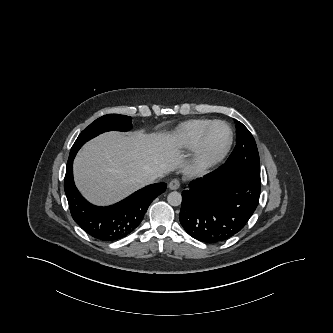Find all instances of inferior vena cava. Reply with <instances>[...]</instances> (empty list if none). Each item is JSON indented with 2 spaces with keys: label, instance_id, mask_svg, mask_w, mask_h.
<instances>
[{
  "label": "inferior vena cava",
  "instance_id": "inferior-vena-cava-1",
  "mask_svg": "<svg viewBox=\"0 0 333 333\" xmlns=\"http://www.w3.org/2000/svg\"><path fill=\"white\" fill-rule=\"evenodd\" d=\"M160 177L159 174H148L143 178L145 184L153 183L156 179Z\"/></svg>",
  "mask_w": 333,
  "mask_h": 333
}]
</instances>
